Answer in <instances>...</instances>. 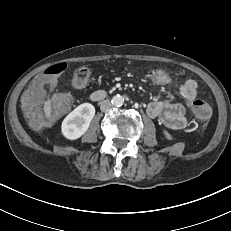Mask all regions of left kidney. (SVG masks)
I'll return each mask as SVG.
<instances>
[{
  "instance_id": "obj_1",
  "label": "left kidney",
  "mask_w": 231,
  "mask_h": 231,
  "mask_svg": "<svg viewBox=\"0 0 231 231\" xmlns=\"http://www.w3.org/2000/svg\"><path fill=\"white\" fill-rule=\"evenodd\" d=\"M163 133H164V135H165V137H166L167 139H169V140L172 139V136L168 133V131L163 130Z\"/></svg>"
}]
</instances>
